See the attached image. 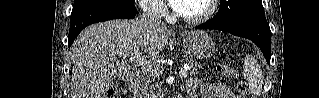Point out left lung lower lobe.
Listing matches in <instances>:
<instances>
[{"mask_svg": "<svg viewBox=\"0 0 319 98\" xmlns=\"http://www.w3.org/2000/svg\"><path fill=\"white\" fill-rule=\"evenodd\" d=\"M195 29H217L227 31L233 35L252 40L262 51L267 63L270 65L271 58V31L265 16L247 20L237 24L196 26Z\"/></svg>", "mask_w": 319, "mask_h": 98, "instance_id": "0a47b994", "label": "left lung lower lobe"}]
</instances>
